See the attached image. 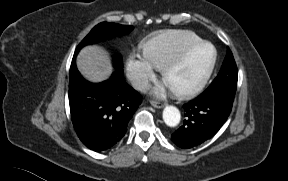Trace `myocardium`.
Segmentation results:
<instances>
[{
    "mask_svg": "<svg viewBox=\"0 0 288 181\" xmlns=\"http://www.w3.org/2000/svg\"><path fill=\"white\" fill-rule=\"evenodd\" d=\"M204 46H210L213 49V58L209 68L207 69L205 74L195 83L181 88H172V91L176 95L192 96L201 91L205 87V85L207 84V82L209 81L215 70L218 61V50L213 43L203 40L197 44L185 48L177 56H175L172 60H170L162 67L161 70L162 78L163 80L166 81V78L169 74H171L173 71L179 68L191 54H193L194 52H196L197 50L201 49Z\"/></svg>",
    "mask_w": 288,
    "mask_h": 181,
    "instance_id": "f54148a6",
    "label": "myocardium"
}]
</instances>
